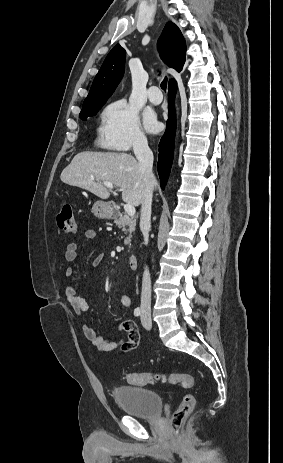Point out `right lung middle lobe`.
Here are the masks:
<instances>
[{
  "instance_id": "1",
  "label": "right lung middle lobe",
  "mask_w": 283,
  "mask_h": 463,
  "mask_svg": "<svg viewBox=\"0 0 283 463\" xmlns=\"http://www.w3.org/2000/svg\"><path fill=\"white\" fill-rule=\"evenodd\" d=\"M106 101L96 103L89 106H84L80 112L79 117L82 120H86L88 116H94L98 110L105 104Z\"/></svg>"
}]
</instances>
